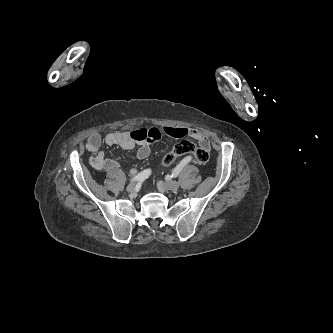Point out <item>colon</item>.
<instances>
[{
	"label": "colon",
	"mask_w": 333,
	"mask_h": 333,
	"mask_svg": "<svg viewBox=\"0 0 333 333\" xmlns=\"http://www.w3.org/2000/svg\"><path fill=\"white\" fill-rule=\"evenodd\" d=\"M186 154L192 155L194 161L200 165L207 163L209 160L208 150L197 147L189 140H182L175 146L171 153L164 157L162 164L164 167H169L175 162L178 156Z\"/></svg>",
	"instance_id": "1"
}]
</instances>
